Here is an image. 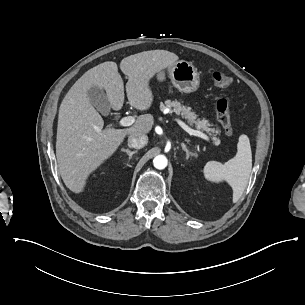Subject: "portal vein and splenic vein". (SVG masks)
Segmentation results:
<instances>
[{"instance_id":"1","label":"portal vein and splenic vein","mask_w":305,"mask_h":305,"mask_svg":"<svg viewBox=\"0 0 305 305\" xmlns=\"http://www.w3.org/2000/svg\"><path fill=\"white\" fill-rule=\"evenodd\" d=\"M177 123L190 135L198 136L202 139L209 140V137L201 131L191 129L188 125H186L183 121L177 119ZM135 122V118L133 116H127L120 120V124L122 126H131Z\"/></svg>"}]
</instances>
